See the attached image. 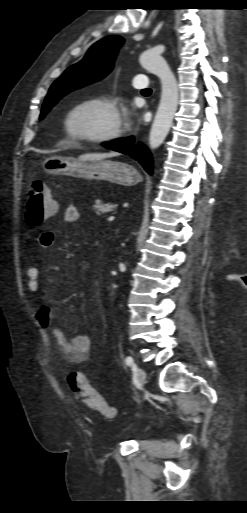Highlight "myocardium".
I'll list each match as a JSON object with an SVG mask.
<instances>
[{"mask_svg":"<svg viewBox=\"0 0 247 513\" xmlns=\"http://www.w3.org/2000/svg\"><path fill=\"white\" fill-rule=\"evenodd\" d=\"M89 106H101L110 109L114 112L116 117V123L114 127L102 134H86L77 132L72 127V118L75 115L77 111H79L82 108L89 107ZM62 128L65 132V134L77 141L82 142H89V143H95V144H102L106 143L112 140L117 139L123 132V124L119 116V110L117 103L106 97L102 96H91L87 98H83L72 105H70L63 113L62 116Z\"/></svg>","mask_w":247,"mask_h":513,"instance_id":"myocardium-1","label":"myocardium"}]
</instances>
